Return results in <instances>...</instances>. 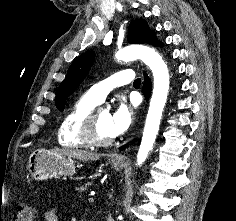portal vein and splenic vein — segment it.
Instances as JSON below:
<instances>
[{"instance_id":"portal-vein-and-splenic-vein-1","label":"portal vein and splenic vein","mask_w":236,"mask_h":221,"mask_svg":"<svg viewBox=\"0 0 236 221\" xmlns=\"http://www.w3.org/2000/svg\"><path fill=\"white\" fill-rule=\"evenodd\" d=\"M88 201H89V202H94V198H93V197H90V198L88 199Z\"/></svg>"}]
</instances>
